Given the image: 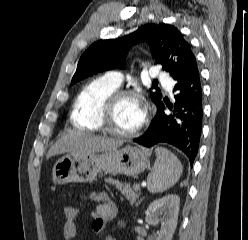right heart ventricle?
Instances as JSON below:
<instances>
[{"mask_svg": "<svg viewBox=\"0 0 248 240\" xmlns=\"http://www.w3.org/2000/svg\"><path fill=\"white\" fill-rule=\"evenodd\" d=\"M117 87L108 83L104 77L87 83L78 93L72 107L70 120L76 129L99 132L98 115L101 105Z\"/></svg>", "mask_w": 248, "mask_h": 240, "instance_id": "1", "label": "right heart ventricle"}]
</instances>
